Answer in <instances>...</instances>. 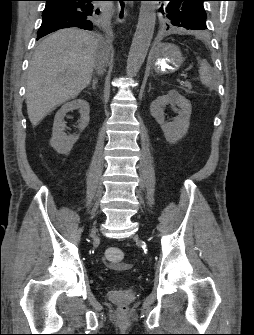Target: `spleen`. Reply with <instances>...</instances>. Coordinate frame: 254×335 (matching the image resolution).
Returning a JSON list of instances; mask_svg holds the SVG:
<instances>
[{"mask_svg":"<svg viewBox=\"0 0 254 335\" xmlns=\"http://www.w3.org/2000/svg\"><path fill=\"white\" fill-rule=\"evenodd\" d=\"M199 77L203 85L209 87L213 84L212 72L209 64L205 60L199 62Z\"/></svg>","mask_w":254,"mask_h":335,"instance_id":"obj_1","label":"spleen"}]
</instances>
